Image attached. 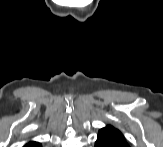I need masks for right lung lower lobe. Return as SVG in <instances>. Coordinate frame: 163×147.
I'll list each match as a JSON object with an SVG mask.
<instances>
[{"label": "right lung lower lobe", "instance_id": "right-lung-lower-lobe-1", "mask_svg": "<svg viewBox=\"0 0 163 147\" xmlns=\"http://www.w3.org/2000/svg\"><path fill=\"white\" fill-rule=\"evenodd\" d=\"M25 147H41V144L37 142H29L25 145Z\"/></svg>", "mask_w": 163, "mask_h": 147}]
</instances>
